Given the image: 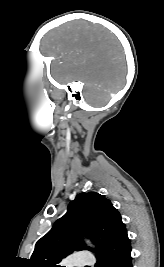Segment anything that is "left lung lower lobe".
<instances>
[{"label": "left lung lower lobe", "mask_w": 164, "mask_h": 267, "mask_svg": "<svg viewBox=\"0 0 164 267\" xmlns=\"http://www.w3.org/2000/svg\"><path fill=\"white\" fill-rule=\"evenodd\" d=\"M97 255L95 267H132L131 244L124 224L111 235Z\"/></svg>", "instance_id": "obj_1"}]
</instances>
